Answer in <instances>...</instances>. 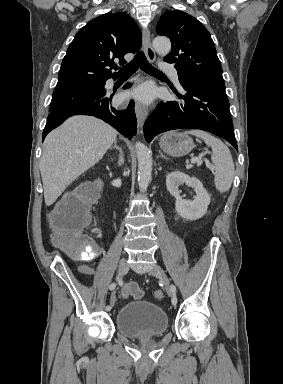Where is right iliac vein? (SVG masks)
<instances>
[{
	"mask_svg": "<svg viewBox=\"0 0 283 384\" xmlns=\"http://www.w3.org/2000/svg\"><path fill=\"white\" fill-rule=\"evenodd\" d=\"M128 270V263L125 258H122L119 262V276H123ZM116 300V295L115 293L112 295L111 303L112 306L114 305Z\"/></svg>",
	"mask_w": 283,
	"mask_h": 384,
	"instance_id": "right-iliac-vein-1",
	"label": "right iliac vein"
}]
</instances>
